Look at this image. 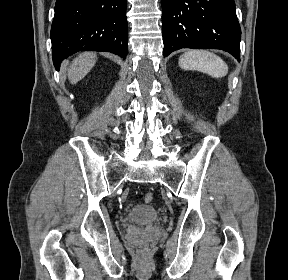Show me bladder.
Wrapping results in <instances>:
<instances>
[{
    "label": "bladder",
    "instance_id": "1",
    "mask_svg": "<svg viewBox=\"0 0 288 280\" xmlns=\"http://www.w3.org/2000/svg\"><path fill=\"white\" fill-rule=\"evenodd\" d=\"M159 217L158 211L149 205H134L127 213V219L130 222L148 225L155 222Z\"/></svg>",
    "mask_w": 288,
    "mask_h": 280
}]
</instances>
